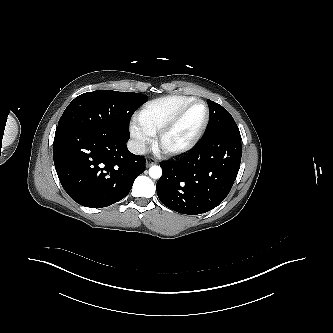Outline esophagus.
I'll list each match as a JSON object with an SVG mask.
<instances>
[{
  "label": "esophagus",
  "instance_id": "obj_1",
  "mask_svg": "<svg viewBox=\"0 0 333 333\" xmlns=\"http://www.w3.org/2000/svg\"><path fill=\"white\" fill-rule=\"evenodd\" d=\"M154 164H155V162H154L153 158H147L146 159V167H150Z\"/></svg>",
  "mask_w": 333,
  "mask_h": 333
}]
</instances>
